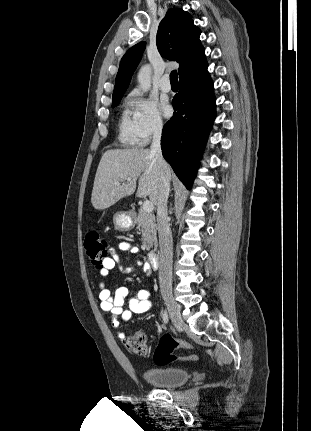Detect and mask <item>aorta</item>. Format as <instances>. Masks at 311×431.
Masks as SVG:
<instances>
[{"label": "aorta", "mask_w": 311, "mask_h": 431, "mask_svg": "<svg viewBox=\"0 0 311 431\" xmlns=\"http://www.w3.org/2000/svg\"><path fill=\"white\" fill-rule=\"evenodd\" d=\"M151 76L152 68L147 64V66H142L141 70L138 72L137 80L142 92H148L151 88Z\"/></svg>", "instance_id": "obj_1"}]
</instances>
